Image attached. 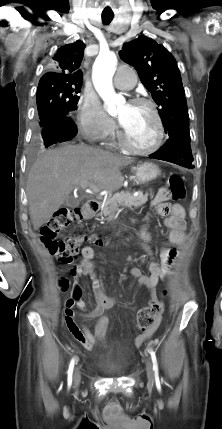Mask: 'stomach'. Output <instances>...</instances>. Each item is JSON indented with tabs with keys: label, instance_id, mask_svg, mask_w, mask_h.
Listing matches in <instances>:
<instances>
[{
	"label": "stomach",
	"instance_id": "0dacf381",
	"mask_svg": "<svg viewBox=\"0 0 222 429\" xmlns=\"http://www.w3.org/2000/svg\"><path fill=\"white\" fill-rule=\"evenodd\" d=\"M134 183L137 185L145 184L156 179L160 175V170L156 164L145 162L139 164L133 169Z\"/></svg>",
	"mask_w": 222,
	"mask_h": 429
}]
</instances>
